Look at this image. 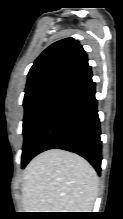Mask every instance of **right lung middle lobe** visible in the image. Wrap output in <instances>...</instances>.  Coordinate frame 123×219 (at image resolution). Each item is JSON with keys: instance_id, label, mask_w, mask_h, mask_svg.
Returning <instances> with one entry per match:
<instances>
[{"instance_id": "right-lung-middle-lobe-1", "label": "right lung middle lobe", "mask_w": 123, "mask_h": 219, "mask_svg": "<svg viewBox=\"0 0 123 219\" xmlns=\"http://www.w3.org/2000/svg\"><path fill=\"white\" fill-rule=\"evenodd\" d=\"M70 83L69 80H54L25 92L23 120L24 144L22 168L30 161L32 145L50 109Z\"/></svg>"}]
</instances>
